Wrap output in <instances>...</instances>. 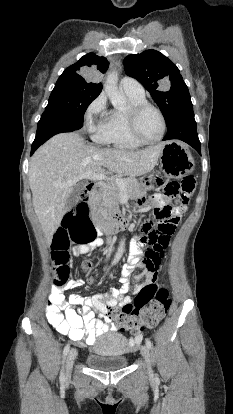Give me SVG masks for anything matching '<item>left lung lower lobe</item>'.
<instances>
[{
	"label": "left lung lower lobe",
	"mask_w": 233,
	"mask_h": 414,
	"mask_svg": "<svg viewBox=\"0 0 233 414\" xmlns=\"http://www.w3.org/2000/svg\"><path fill=\"white\" fill-rule=\"evenodd\" d=\"M168 130L163 140H181L200 152V141L196 131L192 104L182 108L172 121L167 124Z\"/></svg>",
	"instance_id": "obj_1"
}]
</instances>
